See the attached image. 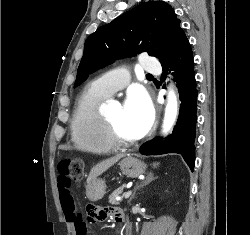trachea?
I'll return each instance as SVG.
<instances>
[{"label":"trachea","instance_id":"3493384b","mask_svg":"<svg viewBox=\"0 0 250 235\" xmlns=\"http://www.w3.org/2000/svg\"><path fill=\"white\" fill-rule=\"evenodd\" d=\"M147 77H153L151 74H147Z\"/></svg>","mask_w":250,"mask_h":235}]
</instances>
